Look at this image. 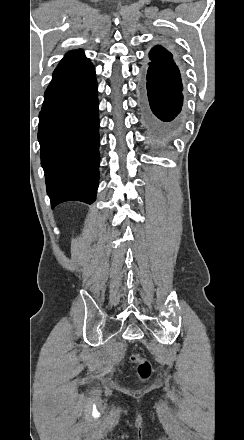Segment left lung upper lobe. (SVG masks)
Returning a JSON list of instances; mask_svg holds the SVG:
<instances>
[{
  "label": "left lung upper lobe",
  "instance_id": "obj_1",
  "mask_svg": "<svg viewBox=\"0 0 244 440\" xmlns=\"http://www.w3.org/2000/svg\"><path fill=\"white\" fill-rule=\"evenodd\" d=\"M150 57L153 59H161L164 61H169L172 59L173 54L168 51L165 47L157 45L150 50Z\"/></svg>",
  "mask_w": 244,
  "mask_h": 440
}]
</instances>
